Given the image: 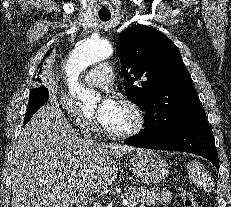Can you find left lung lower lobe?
Here are the masks:
<instances>
[{"instance_id":"0a47b994","label":"left lung lower lobe","mask_w":231,"mask_h":207,"mask_svg":"<svg viewBox=\"0 0 231 207\" xmlns=\"http://www.w3.org/2000/svg\"><path fill=\"white\" fill-rule=\"evenodd\" d=\"M124 142L141 148L183 151L198 154L211 161L217 170H219L215 139L207 120L190 123L168 136L150 137L139 133Z\"/></svg>"}]
</instances>
